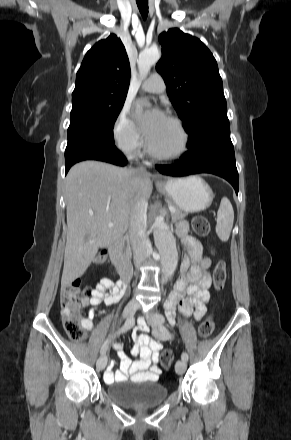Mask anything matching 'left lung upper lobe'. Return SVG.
I'll list each match as a JSON object with an SVG mask.
<instances>
[{
	"label": "left lung upper lobe",
	"instance_id": "obj_1",
	"mask_svg": "<svg viewBox=\"0 0 291 440\" xmlns=\"http://www.w3.org/2000/svg\"><path fill=\"white\" fill-rule=\"evenodd\" d=\"M159 42L162 58L156 70L184 121L189 134L187 144L198 141L213 128L229 126L223 83L210 50L198 38L177 28L161 33Z\"/></svg>",
	"mask_w": 291,
	"mask_h": 440
}]
</instances>
